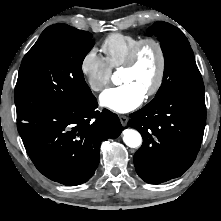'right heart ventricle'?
I'll return each instance as SVG.
<instances>
[{"mask_svg":"<svg viewBox=\"0 0 221 221\" xmlns=\"http://www.w3.org/2000/svg\"><path fill=\"white\" fill-rule=\"evenodd\" d=\"M139 40L141 37L126 33H112L104 39L101 50L111 70L123 65L131 48Z\"/></svg>","mask_w":221,"mask_h":221,"instance_id":"right-heart-ventricle-1","label":"right heart ventricle"}]
</instances>
